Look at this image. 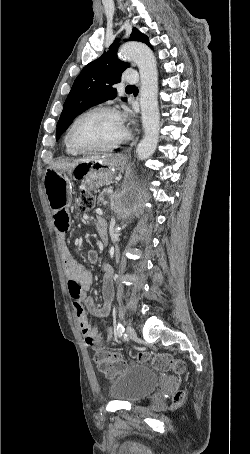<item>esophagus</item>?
I'll use <instances>...</instances> for the list:
<instances>
[{
    "instance_id": "1",
    "label": "esophagus",
    "mask_w": 250,
    "mask_h": 454,
    "mask_svg": "<svg viewBox=\"0 0 250 454\" xmlns=\"http://www.w3.org/2000/svg\"><path fill=\"white\" fill-rule=\"evenodd\" d=\"M137 140H138V138H136V139L133 141V143L131 144V147L128 148V149L125 151V153H124L123 156H122V159L126 160V159L128 158V156L130 155L132 146H134V145L136 144Z\"/></svg>"
}]
</instances>
